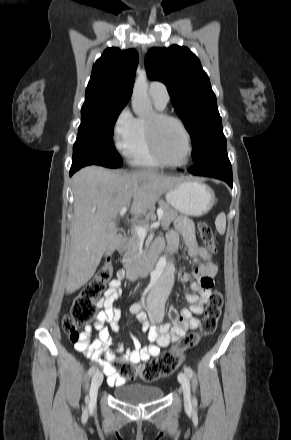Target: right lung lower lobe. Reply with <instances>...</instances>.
Masks as SVG:
<instances>
[{"label": "right lung lower lobe", "instance_id": "obj_1", "mask_svg": "<svg viewBox=\"0 0 291 440\" xmlns=\"http://www.w3.org/2000/svg\"><path fill=\"white\" fill-rule=\"evenodd\" d=\"M88 165H93L87 161H78V162H72V166L70 169V176L73 175V173H75L77 170H79L80 168L84 167V166H88Z\"/></svg>", "mask_w": 291, "mask_h": 440}]
</instances>
